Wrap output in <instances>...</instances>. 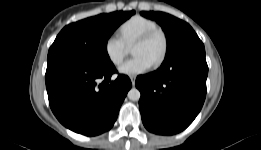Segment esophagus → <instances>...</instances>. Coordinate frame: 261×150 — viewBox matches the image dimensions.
<instances>
[{
	"label": "esophagus",
	"instance_id": "obj_1",
	"mask_svg": "<svg viewBox=\"0 0 261 150\" xmlns=\"http://www.w3.org/2000/svg\"><path fill=\"white\" fill-rule=\"evenodd\" d=\"M130 80H131V82H132V85L134 86V85H135L136 77H135V76H130Z\"/></svg>",
	"mask_w": 261,
	"mask_h": 150
}]
</instances>
